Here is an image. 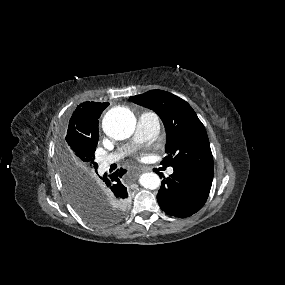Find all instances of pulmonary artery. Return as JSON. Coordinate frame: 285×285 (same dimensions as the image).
Listing matches in <instances>:
<instances>
[{
    "mask_svg": "<svg viewBox=\"0 0 285 285\" xmlns=\"http://www.w3.org/2000/svg\"><path fill=\"white\" fill-rule=\"evenodd\" d=\"M160 130V122L158 116L153 112L143 113L137 123V128L134 135V143H142L153 140L156 138ZM127 153V149L123 148L110 155L100 157L98 159L102 167H108L109 165L117 162ZM169 174L173 173V169L168 170Z\"/></svg>",
    "mask_w": 285,
    "mask_h": 285,
    "instance_id": "pulmonary-artery-1",
    "label": "pulmonary artery"
}]
</instances>
